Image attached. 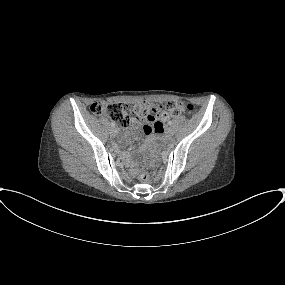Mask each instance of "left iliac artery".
I'll return each instance as SVG.
<instances>
[{"label":"left iliac artery","instance_id":"obj_1","mask_svg":"<svg viewBox=\"0 0 285 285\" xmlns=\"http://www.w3.org/2000/svg\"><path fill=\"white\" fill-rule=\"evenodd\" d=\"M168 124L171 126V125L173 124V122H172V121H169Z\"/></svg>","mask_w":285,"mask_h":285}]
</instances>
